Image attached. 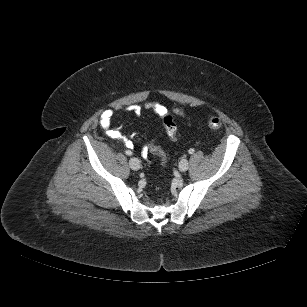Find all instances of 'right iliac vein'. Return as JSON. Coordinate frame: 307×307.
I'll return each mask as SVG.
<instances>
[{
	"instance_id": "obj_1",
	"label": "right iliac vein",
	"mask_w": 307,
	"mask_h": 307,
	"mask_svg": "<svg viewBox=\"0 0 307 307\" xmlns=\"http://www.w3.org/2000/svg\"><path fill=\"white\" fill-rule=\"evenodd\" d=\"M129 165L132 170H139L140 169V161L137 158H131L129 160Z\"/></svg>"
}]
</instances>
